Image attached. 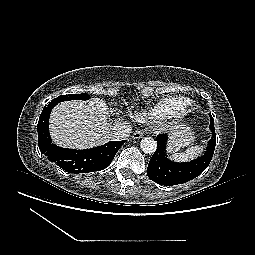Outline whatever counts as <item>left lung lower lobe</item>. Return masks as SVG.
Instances as JSON below:
<instances>
[{"instance_id":"1","label":"left lung lower lobe","mask_w":255,"mask_h":255,"mask_svg":"<svg viewBox=\"0 0 255 255\" xmlns=\"http://www.w3.org/2000/svg\"><path fill=\"white\" fill-rule=\"evenodd\" d=\"M210 120L212 137L209 140L208 150L203 156L191 162L176 163L169 160L166 155L167 135H158L157 150L151 157L147 168L148 177L158 184L172 186L188 182L200 175L210 164L216 145L214 120L211 114Z\"/></svg>"}]
</instances>
